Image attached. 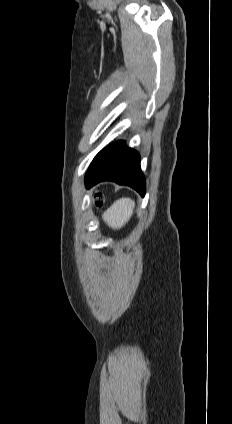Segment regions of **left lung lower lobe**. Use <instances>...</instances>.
Here are the masks:
<instances>
[{"mask_svg": "<svg viewBox=\"0 0 232 424\" xmlns=\"http://www.w3.org/2000/svg\"><path fill=\"white\" fill-rule=\"evenodd\" d=\"M104 180L128 185L144 197L145 179L140 169L138 152L127 148L123 141H118L100 151L86 173L85 185L90 188Z\"/></svg>", "mask_w": 232, "mask_h": 424, "instance_id": "left-lung-lower-lobe-1", "label": "left lung lower lobe"}]
</instances>
